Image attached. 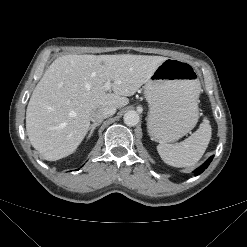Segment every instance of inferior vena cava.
Segmentation results:
<instances>
[{
  "mask_svg": "<svg viewBox=\"0 0 247 247\" xmlns=\"http://www.w3.org/2000/svg\"><path fill=\"white\" fill-rule=\"evenodd\" d=\"M116 112L115 107H106L103 109H95L91 112L90 119L94 123H101L104 119L114 115Z\"/></svg>",
  "mask_w": 247,
  "mask_h": 247,
  "instance_id": "inferior-vena-cava-1",
  "label": "inferior vena cava"
}]
</instances>
